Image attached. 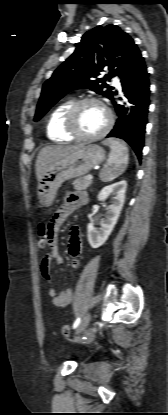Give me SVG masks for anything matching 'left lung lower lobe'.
<instances>
[{"label":"left lung lower lobe","instance_id":"left-lung-lower-lobe-1","mask_svg":"<svg viewBox=\"0 0 168 415\" xmlns=\"http://www.w3.org/2000/svg\"><path fill=\"white\" fill-rule=\"evenodd\" d=\"M121 85L125 101L122 105L117 104L116 92L112 102L117 113V121L107 137L125 140L141 160L150 94L149 74L141 53L134 58L122 76Z\"/></svg>","mask_w":168,"mask_h":415}]
</instances>
